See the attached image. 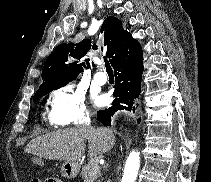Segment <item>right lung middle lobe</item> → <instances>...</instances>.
<instances>
[{
  "mask_svg": "<svg viewBox=\"0 0 211 182\" xmlns=\"http://www.w3.org/2000/svg\"><path fill=\"white\" fill-rule=\"evenodd\" d=\"M63 86H64V85H63ZM60 87H62V86L53 87V88L47 89V90H45V91H43V92H40V93L36 94V95L34 96V98H33V101H34V102L38 101L40 97H42V96L48 94L49 92H51L52 90H56V89H58V88H60Z\"/></svg>",
  "mask_w": 211,
  "mask_h": 182,
  "instance_id": "dd1d6c3e",
  "label": "right lung middle lobe"
}]
</instances>
